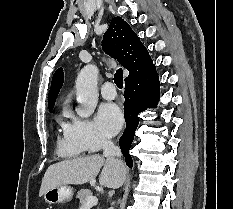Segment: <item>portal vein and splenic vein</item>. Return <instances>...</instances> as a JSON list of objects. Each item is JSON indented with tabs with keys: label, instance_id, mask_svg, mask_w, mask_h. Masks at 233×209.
Returning <instances> with one entry per match:
<instances>
[{
	"label": "portal vein and splenic vein",
	"instance_id": "1",
	"mask_svg": "<svg viewBox=\"0 0 233 209\" xmlns=\"http://www.w3.org/2000/svg\"><path fill=\"white\" fill-rule=\"evenodd\" d=\"M98 203V198L95 196H90L86 199L85 203L81 206L80 209H90L92 206Z\"/></svg>",
	"mask_w": 233,
	"mask_h": 209
}]
</instances>
